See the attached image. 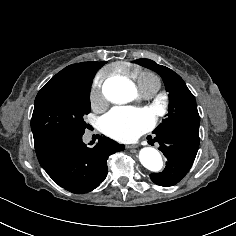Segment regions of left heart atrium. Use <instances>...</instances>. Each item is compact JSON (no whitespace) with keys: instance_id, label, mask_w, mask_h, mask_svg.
<instances>
[{"instance_id":"left-heart-atrium-1","label":"left heart atrium","mask_w":236,"mask_h":236,"mask_svg":"<svg viewBox=\"0 0 236 236\" xmlns=\"http://www.w3.org/2000/svg\"><path fill=\"white\" fill-rule=\"evenodd\" d=\"M153 121V114L147 109L117 107L105 115L102 129L110 137L126 142L148 130Z\"/></svg>"}]
</instances>
